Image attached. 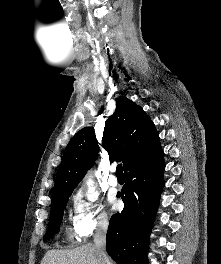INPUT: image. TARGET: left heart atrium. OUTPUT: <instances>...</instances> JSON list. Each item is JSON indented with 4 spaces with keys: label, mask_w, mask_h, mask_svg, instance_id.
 <instances>
[{
    "label": "left heart atrium",
    "mask_w": 221,
    "mask_h": 264,
    "mask_svg": "<svg viewBox=\"0 0 221 264\" xmlns=\"http://www.w3.org/2000/svg\"><path fill=\"white\" fill-rule=\"evenodd\" d=\"M110 203H111V205H112V208H113V209H116V208L119 206L120 201H119L116 197L112 196V197L110 198Z\"/></svg>",
    "instance_id": "obj_1"
}]
</instances>
